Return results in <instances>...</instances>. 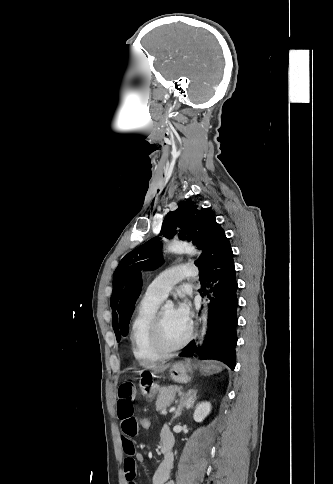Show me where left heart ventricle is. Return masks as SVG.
<instances>
[{"mask_svg": "<svg viewBox=\"0 0 333 484\" xmlns=\"http://www.w3.org/2000/svg\"><path fill=\"white\" fill-rule=\"evenodd\" d=\"M163 330L166 343L174 346L180 343L188 333L189 327L184 325L175 315L174 309H163Z\"/></svg>", "mask_w": 333, "mask_h": 484, "instance_id": "obj_1", "label": "left heart ventricle"}]
</instances>
